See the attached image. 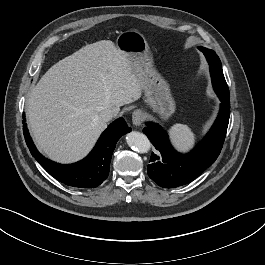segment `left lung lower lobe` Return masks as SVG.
Wrapping results in <instances>:
<instances>
[{
  "label": "left lung lower lobe",
  "instance_id": "1",
  "mask_svg": "<svg viewBox=\"0 0 265 265\" xmlns=\"http://www.w3.org/2000/svg\"><path fill=\"white\" fill-rule=\"evenodd\" d=\"M209 66L213 71L216 68L210 63ZM216 93L222 102L219 115L204 140L188 154L176 152L167 133L157 124L147 123L143 129L157 150L151 155L148 175L159 186L174 188L185 185L197 178L219 156L229 123L230 95Z\"/></svg>",
  "mask_w": 265,
  "mask_h": 265
}]
</instances>
